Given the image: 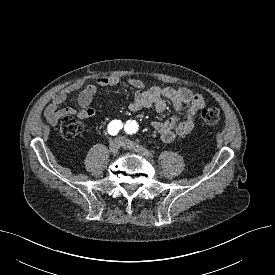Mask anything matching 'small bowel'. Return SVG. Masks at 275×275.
Masks as SVG:
<instances>
[{
  "mask_svg": "<svg viewBox=\"0 0 275 275\" xmlns=\"http://www.w3.org/2000/svg\"><path fill=\"white\" fill-rule=\"evenodd\" d=\"M118 77H101L96 84L83 86L81 81H75L58 91L45 109L47 121L55 124L60 118L75 115L79 119H89L96 114L92 99L99 87H114L118 85ZM127 83L136 88L133 101L129 105L132 112L144 108H154L157 112L166 109V101L173 105L175 114L164 121H153L151 126L164 142H172L177 136L190 134L196 126V115L205 107L206 102L201 94L193 93L185 87L170 88L162 86H146L137 78H129ZM80 91L78 107H61L71 93ZM186 111V116L179 121V114Z\"/></svg>",
  "mask_w": 275,
  "mask_h": 275,
  "instance_id": "c3829d8e",
  "label": "small bowel"
}]
</instances>
